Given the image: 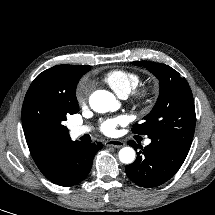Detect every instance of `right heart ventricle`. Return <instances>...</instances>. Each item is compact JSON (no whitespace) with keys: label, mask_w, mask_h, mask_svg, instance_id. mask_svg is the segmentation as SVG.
Instances as JSON below:
<instances>
[{"label":"right heart ventricle","mask_w":215,"mask_h":215,"mask_svg":"<svg viewBox=\"0 0 215 215\" xmlns=\"http://www.w3.org/2000/svg\"><path fill=\"white\" fill-rule=\"evenodd\" d=\"M102 79L120 97L128 96L141 82L139 73L126 69L110 70Z\"/></svg>","instance_id":"obj_1"}]
</instances>
